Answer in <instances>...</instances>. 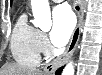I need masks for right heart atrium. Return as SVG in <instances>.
<instances>
[{"label": "right heart atrium", "instance_id": "obj_1", "mask_svg": "<svg viewBox=\"0 0 102 75\" xmlns=\"http://www.w3.org/2000/svg\"><path fill=\"white\" fill-rule=\"evenodd\" d=\"M39 48H40V53L47 56L50 54V45L48 43V40L46 38V36L41 33L40 34V38H39Z\"/></svg>", "mask_w": 102, "mask_h": 75}]
</instances>
